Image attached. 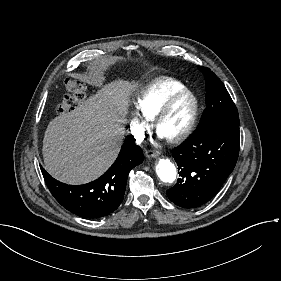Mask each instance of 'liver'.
I'll use <instances>...</instances> for the list:
<instances>
[{
	"instance_id": "obj_1",
	"label": "liver",
	"mask_w": 281,
	"mask_h": 281,
	"mask_svg": "<svg viewBox=\"0 0 281 281\" xmlns=\"http://www.w3.org/2000/svg\"><path fill=\"white\" fill-rule=\"evenodd\" d=\"M144 93L136 80L115 79L73 111L52 119L42 141L47 172L71 184L87 183L104 173L123 145L132 100Z\"/></svg>"
}]
</instances>
